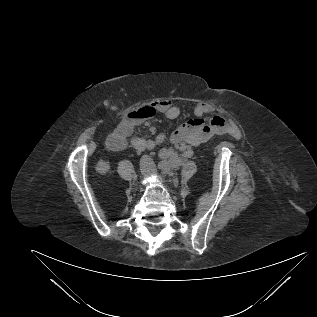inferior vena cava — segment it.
Listing matches in <instances>:
<instances>
[{
	"instance_id": "602c4592",
	"label": "inferior vena cava",
	"mask_w": 317,
	"mask_h": 317,
	"mask_svg": "<svg viewBox=\"0 0 317 317\" xmlns=\"http://www.w3.org/2000/svg\"><path fill=\"white\" fill-rule=\"evenodd\" d=\"M141 166H153V161L149 156H143L140 161Z\"/></svg>"
}]
</instances>
